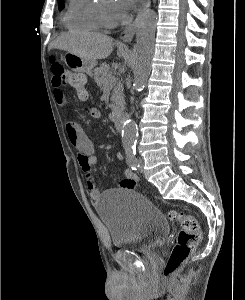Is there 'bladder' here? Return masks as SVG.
I'll list each match as a JSON object with an SVG mask.
<instances>
[{
  "label": "bladder",
  "mask_w": 245,
  "mask_h": 300,
  "mask_svg": "<svg viewBox=\"0 0 245 300\" xmlns=\"http://www.w3.org/2000/svg\"><path fill=\"white\" fill-rule=\"evenodd\" d=\"M96 210L114 248L151 253L166 240L170 227L155 206L140 193L114 189L102 194Z\"/></svg>",
  "instance_id": "31cf9c89"
}]
</instances>
